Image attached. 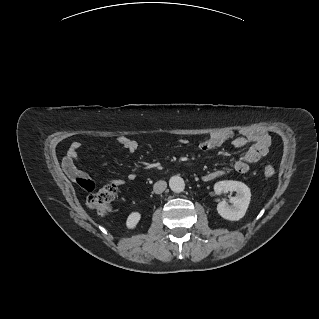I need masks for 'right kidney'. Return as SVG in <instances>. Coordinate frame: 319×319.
<instances>
[{
  "label": "right kidney",
  "instance_id": "1",
  "mask_svg": "<svg viewBox=\"0 0 319 319\" xmlns=\"http://www.w3.org/2000/svg\"><path fill=\"white\" fill-rule=\"evenodd\" d=\"M140 219H141V214L139 212L130 213L126 221L127 227L129 229L135 228Z\"/></svg>",
  "mask_w": 319,
  "mask_h": 319
}]
</instances>
